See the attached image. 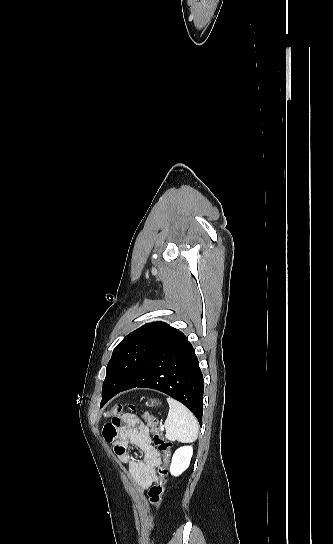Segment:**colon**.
<instances>
[{
  "mask_svg": "<svg viewBox=\"0 0 333 544\" xmlns=\"http://www.w3.org/2000/svg\"><path fill=\"white\" fill-rule=\"evenodd\" d=\"M129 408L131 410L134 409L132 406ZM123 410L124 407L122 405H114L106 412V416L113 418L118 417L121 415ZM142 417L151 430L155 447L162 453L164 459L163 465L158 467V478L148 491L150 504L157 510H160L166 488V475L168 473L167 467L171 457L172 444L162 435L159 420L155 416L148 412H143Z\"/></svg>",
  "mask_w": 333,
  "mask_h": 544,
  "instance_id": "5ec220e1",
  "label": "colon"
}]
</instances>
